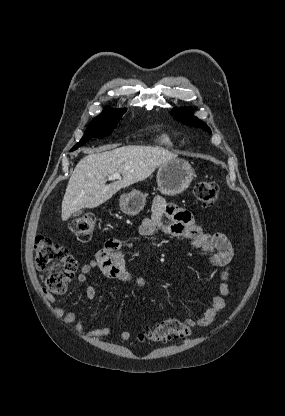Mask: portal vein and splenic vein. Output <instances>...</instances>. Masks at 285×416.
<instances>
[{"label": "portal vein and splenic vein", "instance_id": "obj_1", "mask_svg": "<svg viewBox=\"0 0 285 416\" xmlns=\"http://www.w3.org/2000/svg\"><path fill=\"white\" fill-rule=\"evenodd\" d=\"M108 180H121L120 174H112V176H109Z\"/></svg>", "mask_w": 285, "mask_h": 416}]
</instances>
